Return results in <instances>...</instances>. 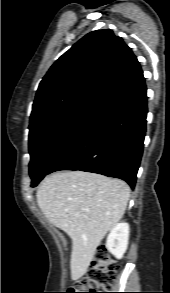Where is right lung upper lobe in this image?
Wrapping results in <instances>:
<instances>
[{
    "instance_id": "obj_1",
    "label": "right lung upper lobe",
    "mask_w": 170,
    "mask_h": 293,
    "mask_svg": "<svg viewBox=\"0 0 170 293\" xmlns=\"http://www.w3.org/2000/svg\"><path fill=\"white\" fill-rule=\"evenodd\" d=\"M144 82L136 56L112 30L88 33L64 53L41 81L30 126L71 106H104Z\"/></svg>"
}]
</instances>
